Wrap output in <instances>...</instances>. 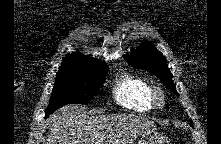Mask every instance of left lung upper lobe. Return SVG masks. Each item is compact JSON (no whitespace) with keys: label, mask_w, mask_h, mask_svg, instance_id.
<instances>
[{"label":"left lung upper lobe","mask_w":221,"mask_h":144,"mask_svg":"<svg viewBox=\"0 0 221 144\" xmlns=\"http://www.w3.org/2000/svg\"><path fill=\"white\" fill-rule=\"evenodd\" d=\"M128 63L137 68H144L158 77L171 91L176 93V87L172 80V74L168 68L165 57L156 50L152 43L141 45L130 55H124ZM192 125V122H191Z\"/></svg>","instance_id":"5c2ea615"}]
</instances>
